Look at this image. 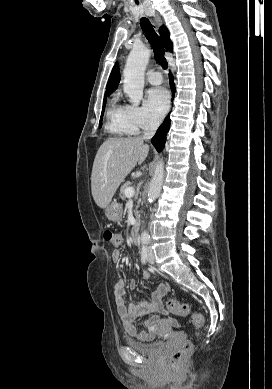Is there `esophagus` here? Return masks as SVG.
Returning <instances> with one entry per match:
<instances>
[{"label":"esophagus","mask_w":272,"mask_h":389,"mask_svg":"<svg viewBox=\"0 0 272 389\" xmlns=\"http://www.w3.org/2000/svg\"><path fill=\"white\" fill-rule=\"evenodd\" d=\"M151 15L153 16V24H154L156 30H158V28L162 24V19H161L160 15L157 12H155V11H153L151 13Z\"/></svg>","instance_id":"esophagus-1"}]
</instances>
